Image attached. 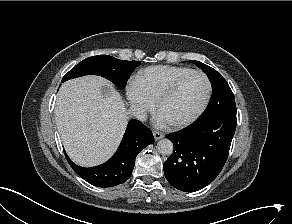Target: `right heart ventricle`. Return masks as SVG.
<instances>
[{
	"label": "right heart ventricle",
	"instance_id": "right-heart-ventricle-1",
	"mask_svg": "<svg viewBox=\"0 0 292 224\" xmlns=\"http://www.w3.org/2000/svg\"><path fill=\"white\" fill-rule=\"evenodd\" d=\"M193 71L195 70L184 66H152L141 70L134 82L152 102H155L159 95L176 80Z\"/></svg>",
	"mask_w": 292,
	"mask_h": 224
}]
</instances>
